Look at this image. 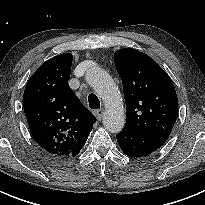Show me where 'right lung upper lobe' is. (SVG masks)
Instances as JSON below:
<instances>
[{
	"mask_svg": "<svg viewBox=\"0 0 205 205\" xmlns=\"http://www.w3.org/2000/svg\"><path fill=\"white\" fill-rule=\"evenodd\" d=\"M73 56L44 62L28 80L23 107L30 131L47 152L75 157L85 145L96 118L68 85Z\"/></svg>",
	"mask_w": 205,
	"mask_h": 205,
	"instance_id": "obj_1",
	"label": "right lung upper lobe"
}]
</instances>
